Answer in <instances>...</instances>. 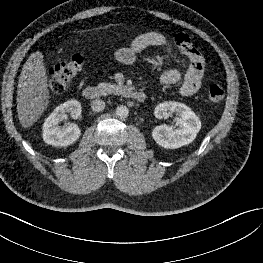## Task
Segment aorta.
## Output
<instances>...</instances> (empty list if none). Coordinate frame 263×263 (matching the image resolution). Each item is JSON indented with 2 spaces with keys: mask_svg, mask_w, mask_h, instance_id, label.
Listing matches in <instances>:
<instances>
[{
  "mask_svg": "<svg viewBox=\"0 0 263 263\" xmlns=\"http://www.w3.org/2000/svg\"><path fill=\"white\" fill-rule=\"evenodd\" d=\"M129 114V110L126 106L124 105H120L116 108V115L120 118V119H125L127 118Z\"/></svg>",
  "mask_w": 263,
  "mask_h": 263,
  "instance_id": "aorta-1",
  "label": "aorta"
}]
</instances>
